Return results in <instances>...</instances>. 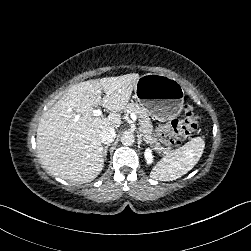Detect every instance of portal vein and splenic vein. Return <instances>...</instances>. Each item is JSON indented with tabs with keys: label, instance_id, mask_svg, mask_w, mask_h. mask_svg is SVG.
Masks as SVG:
<instances>
[{
	"label": "portal vein and splenic vein",
	"instance_id": "portal-vein-and-splenic-vein-1",
	"mask_svg": "<svg viewBox=\"0 0 251 251\" xmlns=\"http://www.w3.org/2000/svg\"><path fill=\"white\" fill-rule=\"evenodd\" d=\"M128 114H129V116H130L131 119H133V120L136 119V115L134 113L128 111ZM91 115L93 117L100 116L101 115V111L99 109H94V110H92Z\"/></svg>",
	"mask_w": 251,
	"mask_h": 251
}]
</instances>
